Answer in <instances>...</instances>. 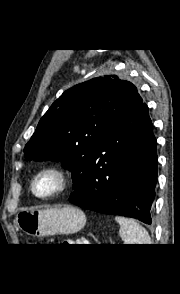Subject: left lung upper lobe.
Listing matches in <instances>:
<instances>
[{
	"label": "left lung upper lobe",
	"instance_id": "1",
	"mask_svg": "<svg viewBox=\"0 0 180 294\" xmlns=\"http://www.w3.org/2000/svg\"><path fill=\"white\" fill-rule=\"evenodd\" d=\"M137 88L116 75L101 76L65 91L41 118L24 148L36 161H61L76 194L103 139L127 112Z\"/></svg>",
	"mask_w": 180,
	"mask_h": 294
}]
</instances>
